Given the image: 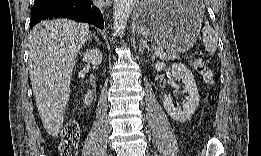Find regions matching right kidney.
Returning <instances> with one entry per match:
<instances>
[{
    "instance_id": "obj_1",
    "label": "right kidney",
    "mask_w": 261,
    "mask_h": 156,
    "mask_svg": "<svg viewBox=\"0 0 261 156\" xmlns=\"http://www.w3.org/2000/svg\"><path fill=\"white\" fill-rule=\"evenodd\" d=\"M83 61L90 62L93 65H100L102 62V53L99 49H91L83 55Z\"/></svg>"
}]
</instances>
